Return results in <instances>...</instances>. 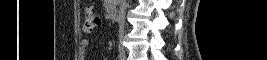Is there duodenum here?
Returning <instances> with one entry per match:
<instances>
[{
	"mask_svg": "<svg viewBox=\"0 0 267 60\" xmlns=\"http://www.w3.org/2000/svg\"><path fill=\"white\" fill-rule=\"evenodd\" d=\"M107 11L108 15L111 19H115L118 17L119 14V8L118 6L114 3V1H108V6H107Z\"/></svg>",
	"mask_w": 267,
	"mask_h": 60,
	"instance_id": "duodenum-1",
	"label": "duodenum"
}]
</instances>
